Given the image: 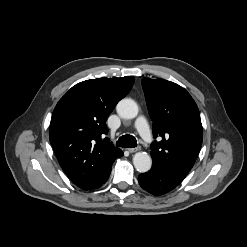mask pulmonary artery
Masks as SVG:
<instances>
[{
    "mask_svg": "<svg viewBox=\"0 0 247 247\" xmlns=\"http://www.w3.org/2000/svg\"><path fill=\"white\" fill-rule=\"evenodd\" d=\"M135 127L144 141H146L147 143L153 142V137L149 124L144 117L141 116L136 120Z\"/></svg>",
    "mask_w": 247,
    "mask_h": 247,
    "instance_id": "e3ab8cb5",
    "label": "pulmonary artery"
}]
</instances>
